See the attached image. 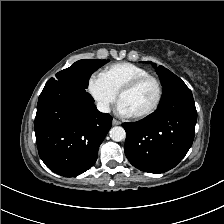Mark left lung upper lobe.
<instances>
[{
    "label": "left lung upper lobe",
    "instance_id": "left-lung-upper-lobe-1",
    "mask_svg": "<svg viewBox=\"0 0 224 224\" xmlns=\"http://www.w3.org/2000/svg\"><path fill=\"white\" fill-rule=\"evenodd\" d=\"M149 63V61L147 62ZM163 86V94L160 103L166 102L181 92L190 91L186 84L171 71L163 66L153 65Z\"/></svg>",
    "mask_w": 224,
    "mask_h": 224
}]
</instances>
